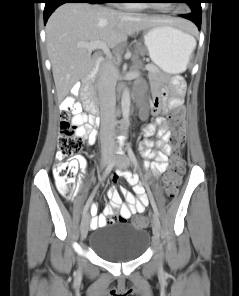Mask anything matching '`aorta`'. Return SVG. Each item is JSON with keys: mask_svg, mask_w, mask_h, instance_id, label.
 Listing matches in <instances>:
<instances>
[{"mask_svg": "<svg viewBox=\"0 0 239 296\" xmlns=\"http://www.w3.org/2000/svg\"><path fill=\"white\" fill-rule=\"evenodd\" d=\"M121 106H122L123 122L125 125H128L129 114H130V93L127 88L123 91L122 99H121Z\"/></svg>", "mask_w": 239, "mask_h": 296, "instance_id": "762f6f07", "label": "aorta"}]
</instances>
